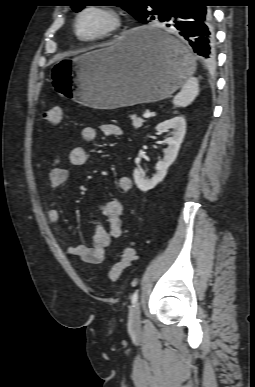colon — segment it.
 Instances as JSON below:
<instances>
[{
	"mask_svg": "<svg viewBox=\"0 0 255 387\" xmlns=\"http://www.w3.org/2000/svg\"><path fill=\"white\" fill-rule=\"evenodd\" d=\"M64 117V110L59 105H54L43 113V118L53 124L59 125L62 123ZM135 257V244L128 243L119 252V260L112 265L107 273V277L111 282L117 281L123 272L130 266Z\"/></svg>",
	"mask_w": 255,
	"mask_h": 387,
	"instance_id": "obj_1",
	"label": "colon"
}]
</instances>
